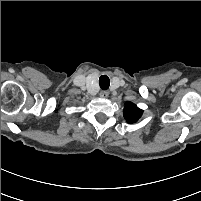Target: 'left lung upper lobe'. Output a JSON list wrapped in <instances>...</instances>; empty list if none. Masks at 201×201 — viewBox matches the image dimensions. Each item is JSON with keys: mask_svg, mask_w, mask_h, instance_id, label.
Here are the masks:
<instances>
[{"mask_svg": "<svg viewBox=\"0 0 201 201\" xmlns=\"http://www.w3.org/2000/svg\"><path fill=\"white\" fill-rule=\"evenodd\" d=\"M124 118L128 123H135L141 117L143 110L138 108L135 104L127 102L123 110Z\"/></svg>", "mask_w": 201, "mask_h": 201, "instance_id": "obj_1", "label": "left lung upper lobe"}]
</instances>
